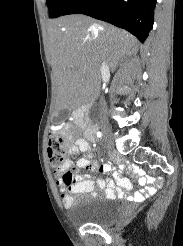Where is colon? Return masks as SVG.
I'll return each mask as SVG.
<instances>
[{
    "mask_svg": "<svg viewBox=\"0 0 183 246\" xmlns=\"http://www.w3.org/2000/svg\"><path fill=\"white\" fill-rule=\"evenodd\" d=\"M67 147L62 136L51 135L48 139V158L51 167L54 170L61 169L67 161ZM72 173V172H68ZM71 182L73 178H65Z\"/></svg>",
    "mask_w": 183,
    "mask_h": 246,
    "instance_id": "obj_1",
    "label": "colon"
}]
</instances>
